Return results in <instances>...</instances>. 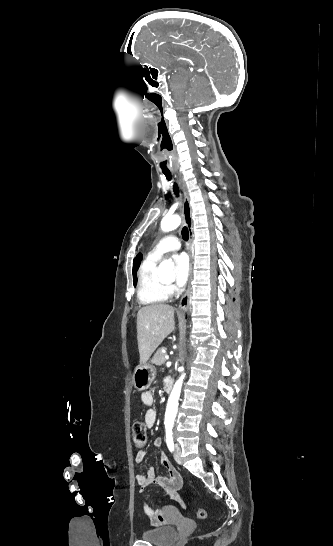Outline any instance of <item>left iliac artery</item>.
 <instances>
[{
    "label": "left iliac artery",
    "instance_id": "1",
    "mask_svg": "<svg viewBox=\"0 0 333 546\" xmlns=\"http://www.w3.org/2000/svg\"><path fill=\"white\" fill-rule=\"evenodd\" d=\"M166 443L168 449L173 452L174 451V441H173V433L171 429L166 430Z\"/></svg>",
    "mask_w": 333,
    "mask_h": 546
}]
</instances>
